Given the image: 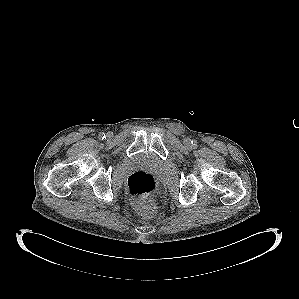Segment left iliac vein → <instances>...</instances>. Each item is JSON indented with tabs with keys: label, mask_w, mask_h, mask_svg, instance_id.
<instances>
[{
	"label": "left iliac vein",
	"mask_w": 299,
	"mask_h": 299,
	"mask_svg": "<svg viewBox=\"0 0 299 299\" xmlns=\"http://www.w3.org/2000/svg\"><path fill=\"white\" fill-rule=\"evenodd\" d=\"M183 142L187 147L191 146V140L189 138H185Z\"/></svg>",
	"instance_id": "obj_1"
}]
</instances>
